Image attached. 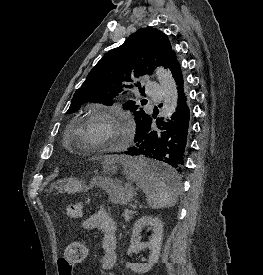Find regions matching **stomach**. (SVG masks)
Returning <instances> with one entry per match:
<instances>
[{"label":"stomach","mask_w":263,"mask_h":275,"mask_svg":"<svg viewBox=\"0 0 263 275\" xmlns=\"http://www.w3.org/2000/svg\"><path fill=\"white\" fill-rule=\"evenodd\" d=\"M83 182L77 178L59 179L51 184V189L57 193H76L83 189ZM110 192V199L113 203L126 204L130 202L135 195L134 188L131 185L121 186L119 183H112L107 187Z\"/></svg>","instance_id":"1"}]
</instances>
